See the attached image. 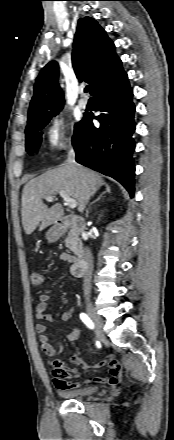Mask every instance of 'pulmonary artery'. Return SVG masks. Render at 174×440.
I'll return each instance as SVG.
<instances>
[{
  "mask_svg": "<svg viewBox=\"0 0 174 440\" xmlns=\"http://www.w3.org/2000/svg\"><path fill=\"white\" fill-rule=\"evenodd\" d=\"M87 105H88V103H87V101H86L85 99L80 98V99L78 100V107H79L80 109H85V108L87 107Z\"/></svg>",
  "mask_w": 174,
  "mask_h": 440,
  "instance_id": "e3ab8cb5",
  "label": "pulmonary artery"
}]
</instances>
